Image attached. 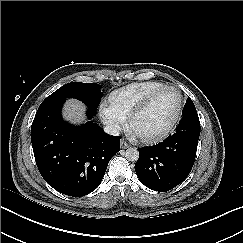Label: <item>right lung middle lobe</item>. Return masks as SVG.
Here are the masks:
<instances>
[{
  "label": "right lung middle lobe",
  "instance_id": "dd1d6c3e",
  "mask_svg": "<svg viewBox=\"0 0 243 243\" xmlns=\"http://www.w3.org/2000/svg\"><path fill=\"white\" fill-rule=\"evenodd\" d=\"M100 88L101 86L97 83L71 82L60 87L41 104L66 100L67 98H76L83 101L87 105L88 111L95 115L103 96Z\"/></svg>",
  "mask_w": 243,
  "mask_h": 243
}]
</instances>
